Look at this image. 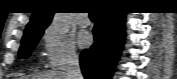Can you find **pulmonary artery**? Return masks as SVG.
I'll return each mask as SVG.
<instances>
[{"mask_svg": "<svg viewBox=\"0 0 177 79\" xmlns=\"http://www.w3.org/2000/svg\"><path fill=\"white\" fill-rule=\"evenodd\" d=\"M90 23L89 18L86 14L79 15L78 24L82 27L88 26Z\"/></svg>", "mask_w": 177, "mask_h": 79, "instance_id": "obj_1", "label": "pulmonary artery"}]
</instances>
